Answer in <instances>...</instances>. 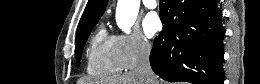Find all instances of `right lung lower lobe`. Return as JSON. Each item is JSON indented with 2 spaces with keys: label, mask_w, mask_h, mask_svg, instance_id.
Segmentation results:
<instances>
[{
  "label": "right lung lower lobe",
  "mask_w": 260,
  "mask_h": 84,
  "mask_svg": "<svg viewBox=\"0 0 260 84\" xmlns=\"http://www.w3.org/2000/svg\"><path fill=\"white\" fill-rule=\"evenodd\" d=\"M150 64L166 81L223 84L222 12L217 0H164Z\"/></svg>",
  "instance_id": "right-lung-lower-lobe-1"
}]
</instances>
